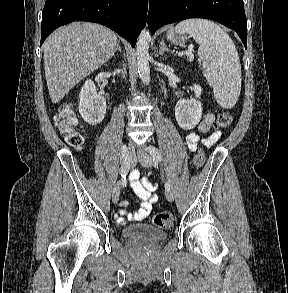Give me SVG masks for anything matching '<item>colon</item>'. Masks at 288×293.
<instances>
[{
	"mask_svg": "<svg viewBox=\"0 0 288 293\" xmlns=\"http://www.w3.org/2000/svg\"><path fill=\"white\" fill-rule=\"evenodd\" d=\"M234 114L230 111L221 112L215 122L216 128H226L233 122ZM55 126L66 142L73 148H81L84 138L77 129V120L72 109L65 106L55 115ZM205 163L203 150H198L193 157V166L200 169ZM154 224L160 228H169L172 225V216L168 212L157 213L154 217Z\"/></svg>",
	"mask_w": 288,
	"mask_h": 293,
	"instance_id": "5ec220e1",
	"label": "colon"
}]
</instances>
